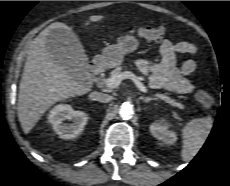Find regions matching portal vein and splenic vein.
<instances>
[{"mask_svg": "<svg viewBox=\"0 0 230 186\" xmlns=\"http://www.w3.org/2000/svg\"><path fill=\"white\" fill-rule=\"evenodd\" d=\"M124 79H131L136 84V86L139 88L140 91H142L143 93H147V89L143 85V83H141L138 80V78L130 71H125V72H122L121 74H116L112 76L111 78L105 81V85L106 87L111 88V89L116 88L117 86H119L121 81Z\"/></svg>", "mask_w": 230, "mask_h": 186, "instance_id": "portal-vein-and-splenic-vein-1", "label": "portal vein and splenic vein"}]
</instances>
